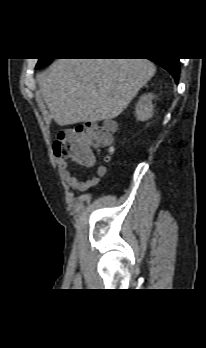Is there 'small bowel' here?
Returning a JSON list of instances; mask_svg holds the SVG:
<instances>
[{
  "instance_id": "obj_1",
  "label": "small bowel",
  "mask_w": 206,
  "mask_h": 348,
  "mask_svg": "<svg viewBox=\"0 0 206 348\" xmlns=\"http://www.w3.org/2000/svg\"><path fill=\"white\" fill-rule=\"evenodd\" d=\"M58 163L60 165L64 180L76 192H83L91 187L98 185L106 174V167L104 165H98L95 169V173L92 176L82 180L70 173L67 161L60 159ZM94 163L95 161L88 166H92L94 165Z\"/></svg>"
}]
</instances>
